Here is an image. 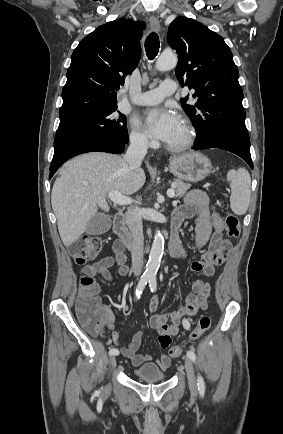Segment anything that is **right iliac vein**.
I'll return each mask as SVG.
<instances>
[{
    "mask_svg": "<svg viewBox=\"0 0 283 434\" xmlns=\"http://www.w3.org/2000/svg\"><path fill=\"white\" fill-rule=\"evenodd\" d=\"M109 364L112 366V367H114L115 366V364H116V359H115V357L113 356V355H111L110 356V358H109ZM109 385L107 386V389H109Z\"/></svg>",
    "mask_w": 283,
    "mask_h": 434,
    "instance_id": "63e3f726",
    "label": "right iliac vein"
}]
</instances>
